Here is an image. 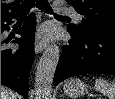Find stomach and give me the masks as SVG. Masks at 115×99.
<instances>
[{
    "label": "stomach",
    "mask_w": 115,
    "mask_h": 99,
    "mask_svg": "<svg viewBox=\"0 0 115 99\" xmlns=\"http://www.w3.org/2000/svg\"><path fill=\"white\" fill-rule=\"evenodd\" d=\"M85 90V84L79 79H72L64 85V92L71 97L80 96Z\"/></svg>",
    "instance_id": "0dacf381"
}]
</instances>
